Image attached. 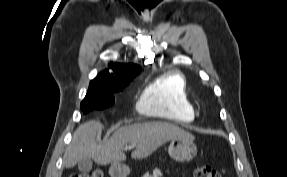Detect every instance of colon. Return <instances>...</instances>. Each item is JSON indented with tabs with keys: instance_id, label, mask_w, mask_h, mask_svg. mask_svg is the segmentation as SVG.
I'll return each mask as SVG.
<instances>
[{
	"instance_id": "5ec220e1",
	"label": "colon",
	"mask_w": 287,
	"mask_h": 177,
	"mask_svg": "<svg viewBox=\"0 0 287 177\" xmlns=\"http://www.w3.org/2000/svg\"><path fill=\"white\" fill-rule=\"evenodd\" d=\"M192 175V177H221L220 172L207 165L196 167ZM69 177H103V173L97 169L84 174H72Z\"/></svg>"
}]
</instances>
